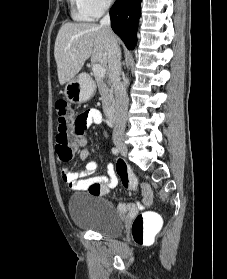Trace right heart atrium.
Wrapping results in <instances>:
<instances>
[{"instance_id": "d8ad5b80", "label": "right heart atrium", "mask_w": 227, "mask_h": 279, "mask_svg": "<svg viewBox=\"0 0 227 279\" xmlns=\"http://www.w3.org/2000/svg\"><path fill=\"white\" fill-rule=\"evenodd\" d=\"M112 0H83L85 8L92 17H99L110 6Z\"/></svg>"}]
</instances>
